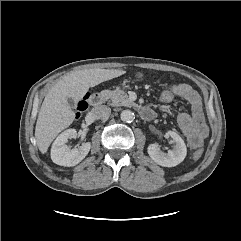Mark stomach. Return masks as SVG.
Instances as JSON below:
<instances>
[{"instance_id": "stomach-1", "label": "stomach", "mask_w": 241, "mask_h": 241, "mask_svg": "<svg viewBox=\"0 0 241 241\" xmlns=\"http://www.w3.org/2000/svg\"><path fill=\"white\" fill-rule=\"evenodd\" d=\"M136 78L142 79L143 78V73L139 72L136 74Z\"/></svg>"}]
</instances>
